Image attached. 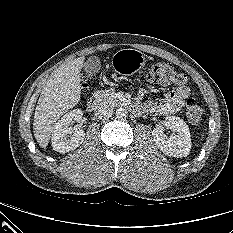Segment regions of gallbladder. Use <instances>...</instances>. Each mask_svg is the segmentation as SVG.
I'll return each instance as SVG.
<instances>
[{"label": "gallbladder", "mask_w": 233, "mask_h": 233, "mask_svg": "<svg viewBox=\"0 0 233 233\" xmlns=\"http://www.w3.org/2000/svg\"><path fill=\"white\" fill-rule=\"evenodd\" d=\"M100 67V60L96 56H90L84 63V70L89 76L99 72Z\"/></svg>", "instance_id": "1"}]
</instances>
